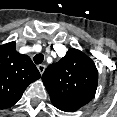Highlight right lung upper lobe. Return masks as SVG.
<instances>
[{"instance_id": "obj_1", "label": "right lung upper lobe", "mask_w": 117, "mask_h": 117, "mask_svg": "<svg viewBox=\"0 0 117 117\" xmlns=\"http://www.w3.org/2000/svg\"><path fill=\"white\" fill-rule=\"evenodd\" d=\"M16 43L0 46V109L13 106L26 87L40 78L30 57L15 50Z\"/></svg>"}]
</instances>
